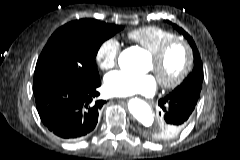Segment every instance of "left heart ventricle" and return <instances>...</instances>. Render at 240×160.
Segmentation results:
<instances>
[{
    "mask_svg": "<svg viewBox=\"0 0 240 160\" xmlns=\"http://www.w3.org/2000/svg\"><path fill=\"white\" fill-rule=\"evenodd\" d=\"M185 62V52L180 46L174 47L160 67H155L150 59L146 71H153L156 77L163 81H171L181 71Z\"/></svg>",
    "mask_w": 240,
    "mask_h": 160,
    "instance_id": "1",
    "label": "left heart ventricle"
}]
</instances>
